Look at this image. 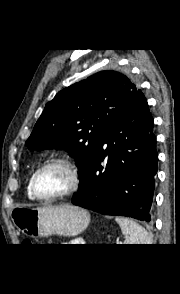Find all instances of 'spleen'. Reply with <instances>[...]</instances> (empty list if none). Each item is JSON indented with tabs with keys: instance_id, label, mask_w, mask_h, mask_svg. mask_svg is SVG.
<instances>
[{
	"instance_id": "3e777b00",
	"label": "spleen",
	"mask_w": 180,
	"mask_h": 294,
	"mask_svg": "<svg viewBox=\"0 0 180 294\" xmlns=\"http://www.w3.org/2000/svg\"><path fill=\"white\" fill-rule=\"evenodd\" d=\"M122 233L126 236L124 244H150L151 238L148 232L134 220L116 217Z\"/></svg>"
}]
</instances>
